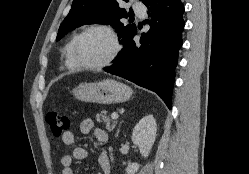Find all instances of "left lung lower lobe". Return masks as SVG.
Instances as JSON below:
<instances>
[{"mask_svg": "<svg viewBox=\"0 0 249 174\" xmlns=\"http://www.w3.org/2000/svg\"><path fill=\"white\" fill-rule=\"evenodd\" d=\"M145 5L151 29L142 33L140 44L133 41L137 31L123 41L115 65L104 70L156 92L170 109L185 25L184 6L181 0H148Z\"/></svg>", "mask_w": 249, "mask_h": 174, "instance_id": "left-lung-lower-lobe-1", "label": "left lung lower lobe"}]
</instances>
